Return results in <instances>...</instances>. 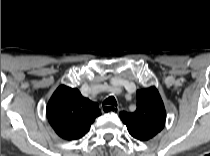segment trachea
Here are the masks:
<instances>
[{"label": "trachea", "mask_w": 210, "mask_h": 156, "mask_svg": "<svg viewBox=\"0 0 210 156\" xmlns=\"http://www.w3.org/2000/svg\"><path fill=\"white\" fill-rule=\"evenodd\" d=\"M106 104L117 106L116 99L113 96H110L106 100H104L103 105H106Z\"/></svg>", "instance_id": "3493384b"}]
</instances>
